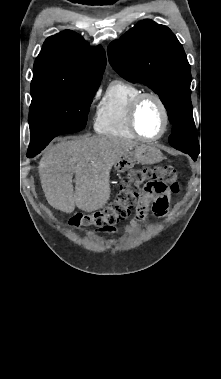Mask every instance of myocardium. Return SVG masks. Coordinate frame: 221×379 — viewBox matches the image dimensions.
Masks as SVG:
<instances>
[{"instance_id":"1","label":"myocardium","mask_w":221,"mask_h":379,"mask_svg":"<svg viewBox=\"0 0 221 379\" xmlns=\"http://www.w3.org/2000/svg\"><path fill=\"white\" fill-rule=\"evenodd\" d=\"M147 98H151V99H154L160 109H161V112H162V116H163V126H162V129L160 131V133L154 137H147L145 135H143L138 126H137V113H138V109L141 105V103L147 99ZM128 122H129V126H130V129L132 130V132L135 134L136 137L144 140V141H156V140H159L160 138H162L164 136V134L167 132V129H168V126H169V113H168V109H167V106L165 104V102L163 101V99L157 94V93H154V92H141L139 95H137L133 100L132 102L130 103L129 105V109H128Z\"/></svg>"}]
</instances>
